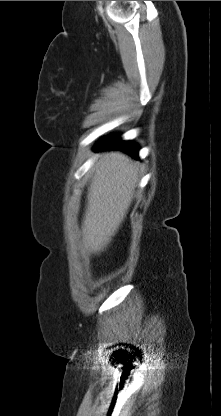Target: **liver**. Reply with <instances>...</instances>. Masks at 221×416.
<instances>
[{"instance_id": "1", "label": "liver", "mask_w": 221, "mask_h": 416, "mask_svg": "<svg viewBox=\"0 0 221 416\" xmlns=\"http://www.w3.org/2000/svg\"><path fill=\"white\" fill-rule=\"evenodd\" d=\"M82 223L85 247L103 250L115 235L131 205L138 182V167L122 152H107L95 164Z\"/></svg>"}]
</instances>
